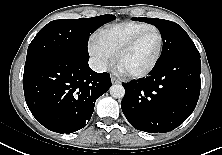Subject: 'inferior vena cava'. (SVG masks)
I'll return each instance as SVG.
<instances>
[{"mask_svg": "<svg viewBox=\"0 0 222 155\" xmlns=\"http://www.w3.org/2000/svg\"><path fill=\"white\" fill-rule=\"evenodd\" d=\"M89 66L92 70L95 72H105L106 71V65L105 63L98 59V58H90L89 59Z\"/></svg>", "mask_w": 222, "mask_h": 155, "instance_id": "1", "label": "inferior vena cava"}]
</instances>
